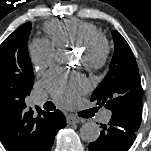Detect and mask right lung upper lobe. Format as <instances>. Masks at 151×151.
I'll list each match as a JSON object with an SVG mask.
<instances>
[{
    "label": "right lung upper lobe",
    "mask_w": 151,
    "mask_h": 151,
    "mask_svg": "<svg viewBox=\"0 0 151 151\" xmlns=\"http://www.w3.org/2000/svg\"><path fill=\"white\" fill-rule=\"evenodd\" d=\"M0 95V140L7 151H44L46 113L25 104V97Z\"/></svg>",
    "instance_id": "obj_1"
}]
</instances>
